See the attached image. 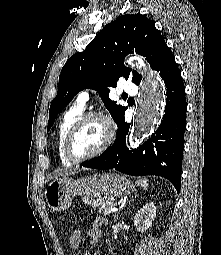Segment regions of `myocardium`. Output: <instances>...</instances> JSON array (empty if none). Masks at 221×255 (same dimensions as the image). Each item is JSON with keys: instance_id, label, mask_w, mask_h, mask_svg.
Wrapping results in <instances>:
<instances>
[{"instance_id": "obj_1", "label": "myocardium", "mask_w": 221, "mask_h": 255, "mask_svg": "<svg viewBox=\"0 0 221 255\" xmlns=\"http://www.w3.org/2000/svg\"><path fill=\"white\" fill-rule=\"evenodd\" d=\"M92 119H98L104 124L105 130H106L105 140L102 143V145L93 153L83 156V157H77L73 152L74 139H75L76 135L78 134L79 130L89 120H92ZM114 136H115V128H114L111 118L107 114H105L104 112H101V111H90V112L83 113L81 115V117L70 128V130L66 136L65 144H64L65 156L73 164L83 163L85 161L96 158L99 155L103 154L108 149V147L110 146V144L112 143V141L114 139Z\"/></svg>"}]
</instances>
